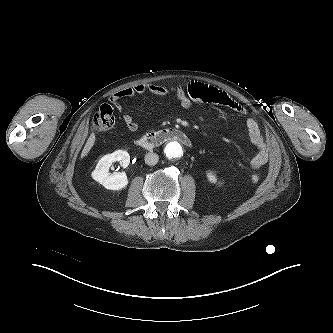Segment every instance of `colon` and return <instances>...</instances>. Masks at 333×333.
Listing matches in <instances>:
<instances>
[{
  "instance_id": "obj_1",
  "label": "colon",
  "mask_w": 333,
  "mask_h": 333,
  "mask_svg": "<svg viewBox=\"0 0 333 333\" xmlns=\"http://www.w3.org/2000/svg\"><path fill=\"white\" fill-rule=\"evenodd\" d=\"M115 117L113 109L108 104H103L97 113L94 115L91 123V127L94 131L104 132L111 129L114 125ZM260 180L259 175L253 174L251 181L256 183Z\"/></svg>"
}]
</instances>
